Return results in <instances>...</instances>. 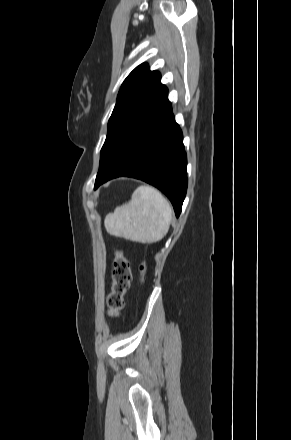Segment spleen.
Here are the masks:
<instances>
[{
    "label": "spleen",
    "instance_id": "3e777b00",
    "mask_svg": "<svg viewBox=\"0 0 291 440\" xmlns=\"http://www.w3.org/2000/svg\"><path fill=\"white\" fill-rule=\"evenodd\" d=\"M172 208L153 187L139 186L131 200L115 208L104 221L107 232L140 243H155L168 233Z\"/></svg>",
    "mask_w": 291,
    "mask_h": 440
}]
</instances>
